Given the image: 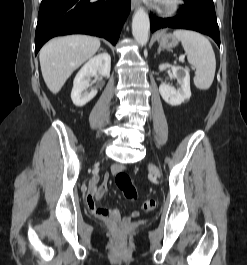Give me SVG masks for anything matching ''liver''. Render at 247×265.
I'll use <instances>...</instances> for the list:
<instances>
[{"instance_id":"6515ba94","label":"liver","mask_w":247,"mask_h":265,"mask_svg":"<svg viewBox=\"0 0 247 265\" xmlns=\"http://www.w3.org/2000/svg\"><path fill=\"white\" fill-rule=\"evenodd\" d=\"M100 48V40L87 35L58 37L46 43L39 59L49 90L58 93L71 74Z\"/></svg>"}]
</instances>
